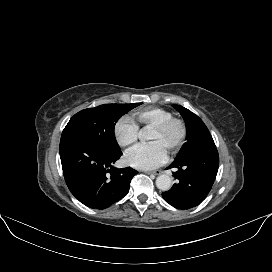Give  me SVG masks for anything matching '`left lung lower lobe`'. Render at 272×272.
Listing matches in <instances>:
<instances>
[{
	"mask_svg": "<svg viewBox=\"0 0 272 272\" xmlns=\"http://www.w3.org/2000/svg\"><path fill=\"white\" fill-rule=\"evenodd\" d=\"M219 167V155L215 145L196 150L174 160L167 167L178 182L162 193L163 198L178 209H190L199 205L212 188Z\"/></svg>",
	"mask_w": 272,
	"mask_h": 272,
	"instance_id": "left-lung-lower-lobe-1",
	"label": "left lung lower lobe"
}]
</instances>
